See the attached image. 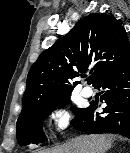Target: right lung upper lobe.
<instances>
[{
    "instance_id": "cb5924a9",
    "label": "right lung upper lobe",
    "mask_w": 130,
    "mask_h": 153,
    "mask_svg": "<svg viewBox=\"0 0 130 153\" xmlns=\"http://www.w3.org/2000/svg\"><path fill=\"white\" fill-rule=\"evenodd\" d=\"M130 58L125 29L111 15L90 14L45 50L32 65L20 115L28 110L68 96L78 82L75 78L91 68L93 84Z\"/></svg>"
}]
</instances>
